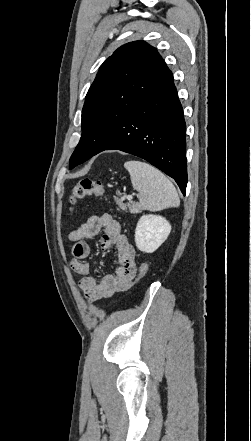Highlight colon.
Returning a JSON list of instances; mask_svg holds the SVG:
<instances>
[{"label":"colon","mask_w":251,"mask_h":441,"mask_svg":"<svg viewBox=\"0 0 251 441\" xmlns=\"http://www.w3.org/2000/svg\"><path fill=\"white\" fill-rule=\"evenodd\" d=\"M105 194V189L100 181L91 178H82L71 190L70 203L73 205L77 200L86 197L101 198ZM148 270V264L143 263L139 269V276L145 275Z\"/></svg>","instance_id":"5ec220e1"}]
</instances>
